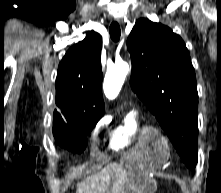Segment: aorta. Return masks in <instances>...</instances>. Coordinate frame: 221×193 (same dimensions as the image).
<instances>
[{"mask_svg": "<svg viewBox=\"0 0 221 193\" xmlns=\"http://www.w3.org/2000/svg\"><path fill=\"white\" fill-rule=\"evenodd\" d=\"M129 72L127 62L115 63L107 70L104 78L103 90L108 99H115L119 94L125 78Z\"/></svg>", "mask_w": 221, "mask_h": 193, "instance_id": "aorta-1", "label": "aorta"}]
</instances>
